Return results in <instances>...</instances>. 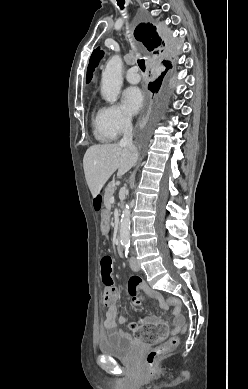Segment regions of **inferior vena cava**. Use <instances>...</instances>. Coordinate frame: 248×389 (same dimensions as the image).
<instances>
[{"instance_id":"1","label":"inferior vena cava","mask_w":248,"mask_h":389,"mask_svg":"<svg viewBox=\"0 0 248 389\" xmlns=\"http://www.w3.org/2000/svg\"><path fill=\"white\" fill-rule=\"evenodd\" d=\"M132 123L130 119L124 122L123 138L119 145L128 148L134 155H137V148L133 144Z\"/></svg>"}]
</instances>
